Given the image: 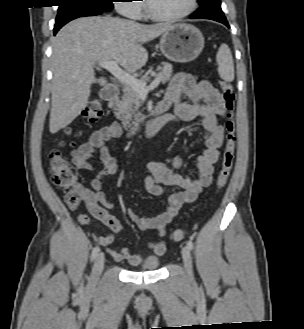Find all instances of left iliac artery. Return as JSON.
<instances>
[{
  "mask_svg": "<svg viewBox=\"0 0 304 329\" xmlns=\"http://www.w3.org/2000/svg\"><path fill=\"white\" fill-rule=\"evenodd\" d=\"M187 246L190 250H192L193 249V242L191 240H188L187 241Z\"/></svg>",
  "mask_w": 304,
  "mask_h": 329,
  "instance_id": "1",
  "label": "left iliac artery"
}]
</instances>
